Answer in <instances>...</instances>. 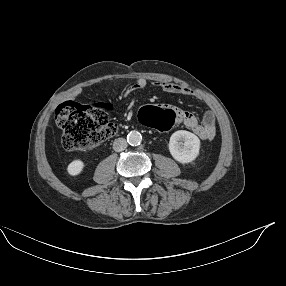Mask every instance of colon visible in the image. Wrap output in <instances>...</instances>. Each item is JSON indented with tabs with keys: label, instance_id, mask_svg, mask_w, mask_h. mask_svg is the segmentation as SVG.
<instances>
[{
	"label": "colon",
	"instance_id": "colon-1",
	"mask_svg": "<svg viewBox=\"0 0 286 286\" xmlns=\"http://www.w3.org/2000/svg\"><path fill=\"white\" fill-rule=\"evenodd\" d=\"M109 105H82L67 100L58 105L55 119L62 130V145L68 151H86L117 133V125L109 120ZM140 124L154 132H171L174 114L170 109L146 107L138 115Z\"/></svg>",
	"mask_w": 286,
	"mask_h": 286
}]
</instances>
